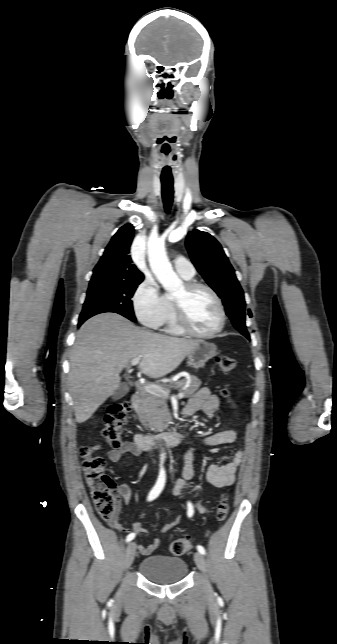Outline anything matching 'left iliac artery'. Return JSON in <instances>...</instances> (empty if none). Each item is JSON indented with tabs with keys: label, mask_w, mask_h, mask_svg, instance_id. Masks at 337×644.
I'll use <instances>...</instances> for the list:
<instances>
[{
	"label": "left iliac artery",
	"mask_w": 337,
	"mask_h": 644,
	"mask_svg": "<svg viewBox=\"0 0 337 644\" xmlns=\"http://www.w3.org/2000/svg\"><path fill=\"white\" fill-rule=\"evenodd\" d=\"M193 513H194L193 506H192V504H191L190 502H188V512H187L188 517H191V516L193 515ZM197 550H198L201 554H203V555L205 554V549H204V547H203V546L198 545V546H197Z\"/></svg>",
	"instance_id": "1"
}]
</instances>
